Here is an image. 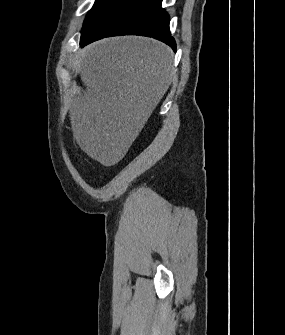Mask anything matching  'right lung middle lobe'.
Returning <instances> with one entry per match:
<instances>
[{
	"label": "right lung middle lobe",
	"instance_id": "dd1d6c3e",
	"mask_svg": "<svg viewBox=\"0 0 285 335\" xmlns=\"http://www.w3.org/2000/svg\"><path fill=\"white\" fill-rule=\"evenodd\" d=\"M122 0H96L84 21L81 39L96 25L102 18L110 13Z\"/></svg>",
	"mask_w": 285,
	"mask_h": 335
}]
</instances>
